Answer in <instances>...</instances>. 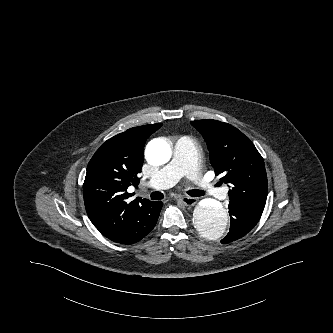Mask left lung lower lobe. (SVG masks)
I'll return each mask as SVG.
<instances>
[{
    "label": "left lung lower lobe",
    "instance_id": "obj_1",
    "mask_svg": "<svg viewBox=\"0 0 333 333\" xmlns=\"http://www.w3.org/2000/svg\"><path fill=\"white\" fill-rule=\"evenodd\" d=\"M229 214L231 219L230 231L227 236L221 240L223 244L232 242L246 235L258 223L262 215L256 211L248 210L234 204L229 205Z\"/></svg>",
    "mask_w": 333,
    "mask_h": 333
}]
</instances>
